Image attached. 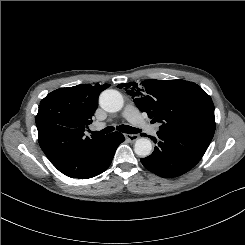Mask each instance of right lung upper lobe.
<instances>
[{
  "mask_svg": "<svg viewBox=\"0 0 245 245\" xmlns=\"http://www.w3.org/2000/svg\"><path fill=\"white\" fill-rule=\"evenodd\" d=\"M109 84H81L60 88L41 100L36 126L41 149L63 174L86 168L106 136L85 137L99 94Z\"/></svg>",
  "mask_w": 245,
  "mask_h": 245,
  "instance_id": "cb5924a9",
  "label": "right lung upper lobe"
}]
</instances>
